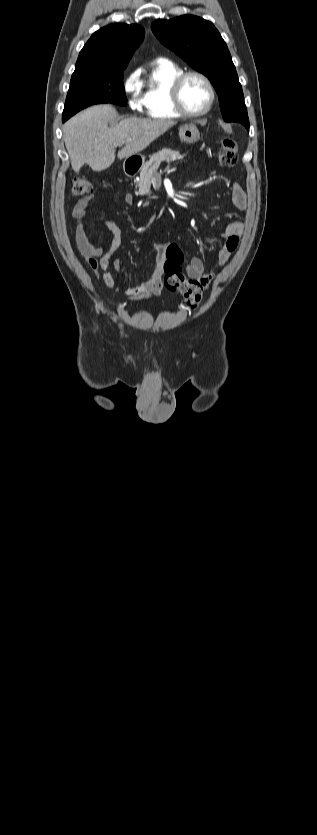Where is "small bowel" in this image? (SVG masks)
<instances>
[{"label": "small bowel", "mask_w": 317, "mask_h": 835, "mask_svg": "<svg viewBox=\"0 0 317 835\" xmlns=\"http://www.w3.org/2000/svg\"><path fill=\"white\" fill-rule=\"evenodd\" d=\"M94 199L93 194L86 195L79 199L73 208V217L76 220L75 240L78 248L83 255L87 265L93 271H101V278L105 286L116 293H121L127 297L128 301L134 302L142 300L149 295L159 294L163 289L162 283V265L168 259L178 260L180 263L184 260L182 249L169 242L158 243L155 246L157 256V267L153 276L134 287L121 288L119 287L110 272L113 268L120 274H123V268L119 260L112 259L113 254L121 246L122 236L120 227L111 220H102L101 224L112 234V241L110 247L105 250L101 245L94 243L87 232V223L84 218L87 213V208ZM125 203L131 205L133 197L130 194L124 196ZM232 205L240 211L247 207V198L244 190L238 183H234L231 189ZM243 225L240 222L228 223L221 233V246L218 251L219 265H225L233 252L237 249ZM186 275L194 280H197L203 289H207L214 279V274L205 273V265L203 260L198 256H193L185 267Z\"/></svg>", "instance_id": "1"}]
</instances>
